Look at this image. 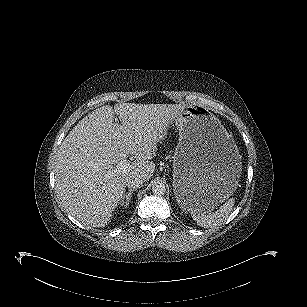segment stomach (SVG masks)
Returning <instances> with one entry per match:
<instances>
[{"label": "stomach", "instance_id": "0dacf381", "mask_svg": "<svg viewBox=\"0 0 307 307\" xmlns=\"http://www.w3.org/2000/svg\"><path fill=\"white\" fill-rule=\"evenodd\" d=\"M179 144L173 156V189L181 208L211 210L236 190L242 170L238 148L206 107L187 104L175 118Z\"/></svg>", "mask_w": 307, "mask_h": 307}]
</instances>
